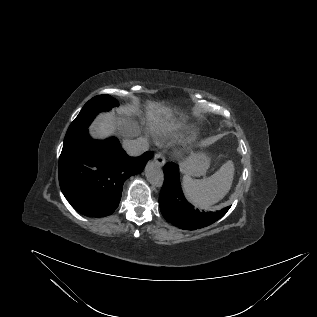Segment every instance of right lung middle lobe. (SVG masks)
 Wrapping results in <instances>:
<instances>
[{"label": "right lung middle lobe", "instance_id": "obj_1", "mask_svg": "<svg viewBox=\"0 0 317 317\" xmlns=\"http://www.w3.org/2000/svg\"><path fill=\"white\" fill-rule=\"evenodd\" d=\"M114 106H118L117 100L107 94L99 95L89 100L71 123L64 139V145L87 129L97 113L108 111Z\"/></svg>", "mask_w": 317, "mask_h": 317}]
</instances>
